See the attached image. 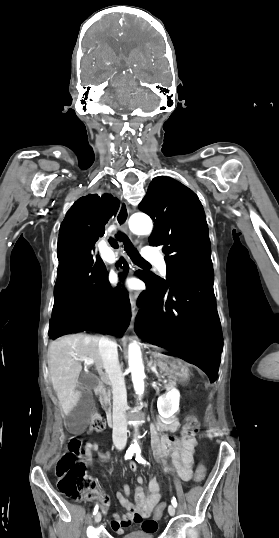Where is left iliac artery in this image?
Returning <instances> with one entry per match:
<instances>
[{"label":"left iliac artery","mask_w":279,"mask_h":538,"mask_svg":"<svg viewBox=\"0 0 279 538\" xmlns=\"http://www.w3.org/2000/svg\"><path fill=\"white\" fill-rule=\"evenodd\" d=\"M135 453H136V461H137L138 463H141V464H148L147 461L142 457L140 449H137V450L135 451ZM171 503H172V505H173L174 507H177V501H176V499H175L174 497L172 498Z\"/></svg>","instance_id":"left-iliac-artery-1"}]
</instances>
